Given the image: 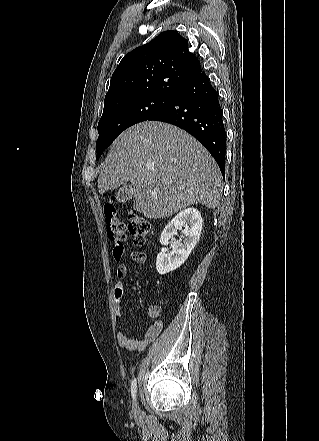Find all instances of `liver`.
<instances>
[{
    "label": "liver",
    "instance_id": "obj_1",
    "mask_svg": "<svg viewBox=\"0 0 319 441\" xmlns=\"http://www.w3.org/2000/svg\"><path fill=\"white\" fill-rule=\"evenodd\" d=\"M128 181L134 209L150 219L193 204L214 209L222 192V174L209 152L182 129L157 121L128 128L110 146L99 193Z\"/></svg>",
    "mask_w": 319,
    "mask_h": 441
}]
</instances>
